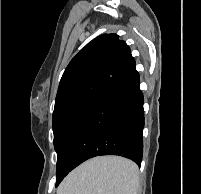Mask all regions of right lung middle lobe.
Instances as JSON below:
<instances>
[{"label": "right lung middle lobe", "mask_w": 201, "mask_h": 194, "mask_svg": "<svg viewBox=\"0 0 201 194\" xmlns=\"http://www.w3.org/2000/svg\"><path fill=\"white\" fill-rule=\"evenodd\" d=\"M95 97L85 96L79 97L60 104L54 108L53 112V132H54V147L57 150L63 133L70 121Z\"/></svg>", "instance_id": "dd1d6c3e"}]
</instances>
